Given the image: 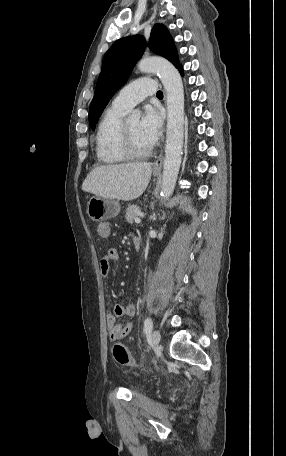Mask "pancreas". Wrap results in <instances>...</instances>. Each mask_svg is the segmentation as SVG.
<instances>
[{"mask_svg": "<svg viewBox=\"0 0 286 456\" xmlns=\"http://www.w3.org/2000/svg\"><path fill=\"white\" fill-rule=\"evenodd\" d=\"M141 210L137 205H130L126 209L125 219L129 223H133V220L140 214Z\"/></svg>", "mask_w": 286, "mask_h": 456, "instance_id": "obj_1", "label": "pancreas"}]
</instances>
